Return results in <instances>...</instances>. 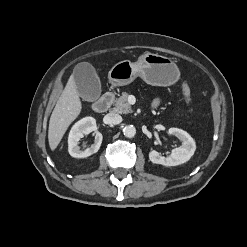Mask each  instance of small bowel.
I'll list each match as a JSON object with an SVG mask.
<instances>
[{
    "instance_id": "small-bowel-1",
    "label": "small bowel",
    "mask_w": 247,
    "mask_h": 247,
    "mask_svg": "<svg viewBox=\"0 0 247 247\" xmlns=\"http://www.w3.org/2000/svg\"><path fill=\"white\" fill-rule=\"evenodd\" d=\"M159 105H160V99H155V100L153 101V107L156 108V107H158Z\"/></svg>"
}]
</instances>
